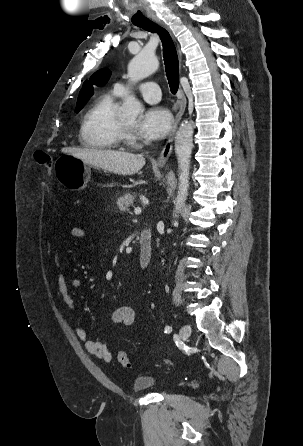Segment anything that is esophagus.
<instances>
[{"label": "esophagus", "instance_id": "34e87169", "mask_svg": "<svg viewBox=\"0 0 303 446\" xmlns=\"http://www.w3.org/2000/svg\"><path fill=\"white\" fill-rule=\"evenodd\" d=\"M153 21L155 23L159 24V25L164 26L162 21L160 19H158V18H153ZM164 27H166V26H164ZM178 55H179V59H180V62H181L182 61V54H181V52L179 50V47H178ZM178 95H179V99H180L179 110H178V113L175 116V119H174V122H173V125H172V129H171V132H170V134L168 136V139H167V141H166V143H165V145H164V147H163V149H162V151H161V153H160V155H159V157L157 159V164L159 166L165 165L166 162L168 161L170 155H171L172 148H173L174 136H175L178 124H179V122H180V120H181V118H182V116H183V114L185 112V109H186L187 100H186V97L184 95V92H183L182 88L179 89Z\"/></svg>", "mask_w": 303, "mask_h": 446}]
</instances>
